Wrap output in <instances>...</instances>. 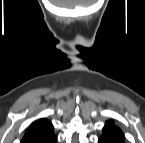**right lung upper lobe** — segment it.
<instances>
[{"instance_id": "1", "label": "right lung upper lobe", "mask_w": 145, "mask_h": 143, "mask_svg": "<svg viewBox=\"0 0 145 143\" xmlns=\"http://www.w3.org/2000/svg\"><path fill=\"white\" fill-rule=\"evenodd\" d=\"M52 124L46 119L35 121L27 130L21 143H55Z\"/></svg>"}]
</instances>
